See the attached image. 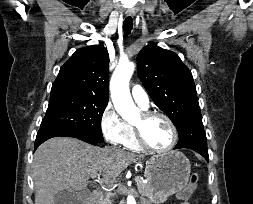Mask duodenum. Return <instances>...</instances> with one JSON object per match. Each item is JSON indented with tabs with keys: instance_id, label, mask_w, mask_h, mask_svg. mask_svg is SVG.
I'll return each instance as SVG.
<instances>
[{
	"instance_id": "1",
	"label": "duodenum",
	"mask_w": 253,
	"mask_h": 204,
	"mask_svg": "<svg viewBox=\"0 0 253 204\" xmlns=\"http://www.w3.org/2000/svg\"><path fill=\"white\" fill-rule=\"evenodd\" d=\"M99 197H100V192L98 190H94L91 193L90 200L87 204H97Z\"/></svg>"
}]
</instances>
